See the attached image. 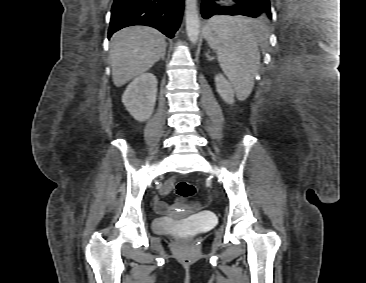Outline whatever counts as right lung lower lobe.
<instances>
[{
	"label": "right lung lower lobe",
	"mask_w": 366,
	"mask_h": 283,
	"mask_svg": "<svg viewBox=\"0 0 366 283\" xmlns=\"http://www.w3.org/2000/svg\"><path fill=\"white\" fill-rule=\"evenodd\" d=\"M184 0H114L108 38L122 28L151 26L173 38L181 22Z\"/></svg>",
	"instance_id": "right-lung-lower-lobe-1"
}]
</instances>
